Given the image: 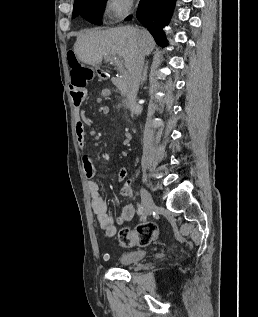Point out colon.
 I'll return each instance as SVG.
<instances>
[{"label": "colon", "instance_id": "obj_1", "mask_svg": "<svg viewBox=\"0 0 258 317\" xmlns=\"http://www.w3.org/2000/svg\"><path fill=\"white\" fill-rule=\"evenodd\" d=\"M67 61L70 67L72 82L87 85L94 77V71L82 64L73 49L67 52ZM158 227L153 222H144L136 228H123L118 233V242L123 247L134 245L146 246L158 237Z\"/></svg>", "mask_w": 258, "mask_h": 317}]
</instances>
